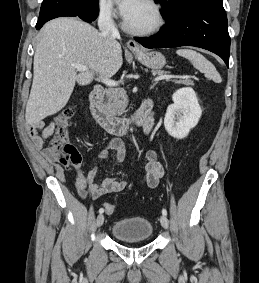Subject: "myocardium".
Listing matches in <instances>:
<instances>
[{
    "label": "myocardium",
    "instance_id": "f54148a6",
    "mask_svg": "<svg viewBox=\"0 0 259 283\" xmlns=\"http://www.w3.org/2000/svg\"><path fill=\"white\" fill-rule=\"evenodd\" d=\"M145 3H147L151 8L154 10L156 15V22L153 26L146 28V29H135L132 28L127 22L126 19L122 22L123 29L134 36H149L156 34L159 32L164 24H165V16L162 10L161 5L156 0H143Z\"/></svg>",
    "mask_w": 259,
    "mask_h": 283
}]
</instances>
